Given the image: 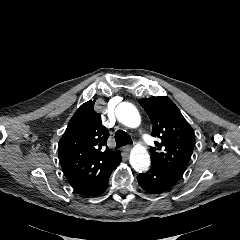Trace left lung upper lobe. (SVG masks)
Listing matches in <instances>:
<instances>
[{
    "label": "left lung upper lobe",
    "mask_w": 240,
    "mask_h": 240,
    "mask_svg": "<svg viewBox=\"0 0 240 240\" xmlns=\"http://www.w3.org/2000/svg\"><path fill=\"white\" fill-rule=\"evenodd\" d=\"M153 124L152 136L159 152L152 151V165L159 166L180 180L186 170L195 145V134L177 106L166 96L139 101Z\"/></svg>",
    "instance_id": "1"
}]
</instances>
